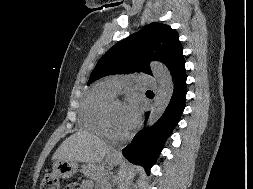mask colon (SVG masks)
Here are the masks:
<instances>
[{
	"label": "colon",
	"mask_w": 253,
	"mask_h": 189,
	"mask_svg": "<svg viewBox=\"0 0 253 189\" xmlns=\"http://www.w3.org/2000/svg\"><path fill=\"white\" fill-rule=\"evenodd\" d=\"M60 179L53 172H47L41 182V189H60Z\"/></svg>",
	"instance_id": "1"
}]
</instances>
